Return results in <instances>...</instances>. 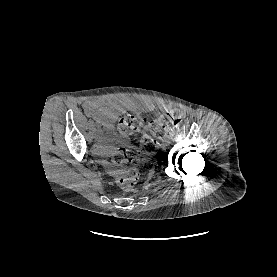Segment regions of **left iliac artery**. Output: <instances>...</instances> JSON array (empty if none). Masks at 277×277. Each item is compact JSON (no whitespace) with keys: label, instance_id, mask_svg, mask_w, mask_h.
Here are the masks:
<instances>
[{"label":"left iliac artery","instance_id":"left-iliac-artery-1","mask_svg":"<svg viewBox=\"0 0 277 277\" xmlns=\"http://www.w3.org/2000/svg\"><path fill=\"white\" fill-rule=\"evenodd\" d=\"M175 134H176V131H171V132L169 133V136H168V137H173Z\"/></svg>","mask_w":277,"mask_h":277}]
</instances>
